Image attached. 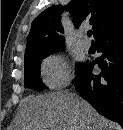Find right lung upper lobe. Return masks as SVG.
<instances>
[{
	"label": "right lung upper lobe",
	"instance_id": "obj_1",
	"mask_svg": "<svg viewBox=\"0 0 123 130\" xmlns=\"http://www.w3.org/2000/svg\"><path fill=\"white\" fill-rule=\"evenodd\" d=\"M66 9L72 13L76 28L84 21L93 25L95 39L123 24V0H71L66 7L51 6L33 20L25 57L50 53L64 46L60 13Z\"/></svg>",
	"mask_w": 123,
	"mask_h": 130
}]
</instances>
